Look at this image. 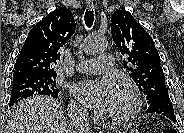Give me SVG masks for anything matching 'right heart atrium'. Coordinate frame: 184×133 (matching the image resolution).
Segmentation results:
<instances>
[{
  "mask_svg": "<svg viewBox=\"0 0 184 133\" xmlns=\"http://www.w3.org/2000/svg\"><path fill=\"white\" fill-rule=\"evenodd\" d=\"M70 110L74 113H84L85 112L84 108L76 102L70 103Z\"/></svg>",
  "mask_w": 184,
  "mask_h": 133,
  "instance_id": "1",
  "label": "right heart atrium"
}]
</instances>
